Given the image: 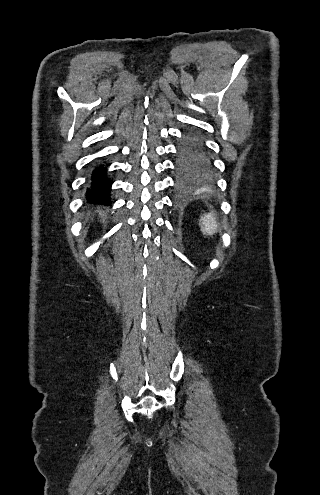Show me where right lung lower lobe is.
I'll return each instance as SVG.
<instances>
[{
	"label": "right lung lower lobe",
	"mask_w": 320,
	"mask_h": 495,
	"mask_svg": "<svg viewBox=\"0 0 320 495\" xmlns=\"http://www.w3.org/2000/svg\"><path fill=\"white\" fill-rule=\"evenodd\" d=\"M111 184L107 178V166L102 163L94 165L90 176V187L86 191L87 200L94 203L108 202Z\"/></svg>",
	"instance_id": "1"
}]
</instances>
